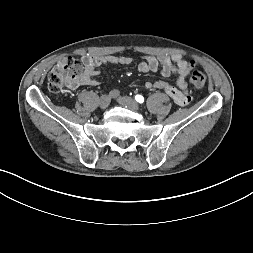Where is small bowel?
<instances>
[{
  "label": "small bowel",
  "mask_w": 253,
  "mask_h": 253,
  "mask_svg": "<svg viewBox=\"0 0 253 253\" xmlns=\"http://www.w3.org/2000/svg\"><path fill=\"white\" fill-rule=\"evenodd\" d=\"M82 61L85 69L83 74L71 85L72 88L79 86H95L96 76L100 74L97 69L100 65H130L133 59L129 56H83ZM193 66L192 62L184 59L180 55L173 56H145L138 65V70L142 73L160 71L163 77H169L172 74L177 75L175 86L170 85L164 80L154 82L147 81L144 86L146 89L163 90L175 103L189 107L194 99L188 93L186 76Z\"/></svg>",
  "instance_id": "1"
}]
</instances>
